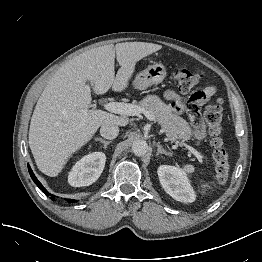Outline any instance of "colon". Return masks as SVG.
<instances>
[{
  "label": "colon",
  "instance_id": "5ec220e1",
  "mask_svg": "<svg viewBox=\"0 0 262 262\" xmlns=\"http://www.w3.org/2000/svg\"><path fill=\"white\" fill-rule=\"evenodd\" d=\"M173 78L177 88L183 92H190L201 80V74L184 68H176L173 72ZM223 101L221 98L213 101L204 109V120L208 127V133L211 138V144L214 147V159L216 162L215 172L218 182H225L229 172L230 152L225 148L222 137V113ZM191 115H197V107L193 102L188 106Z\"/></svg>",
  "mask_w": 262,
  "mask_h": 262
}]
</instances>
